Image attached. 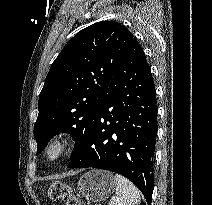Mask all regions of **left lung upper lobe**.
Returning a JSON list of instances; mask_svg holds the SVG:
<instances>
[{
	"label": "left lung upper lobe",
	"mask_w": 212,
	"mask_h": 205,
	"mask_svg": "<svg viewBox=\"0 0 212 205\" xmlns=\"http://www.w3.org/2000/svg\"><path fill=\"white\" fill-rule=\"evenodd\" d=\"M133 39L125 26L102 21L81 30L65 45L40 92L34 124L37 154L60 132L71 133L75 139L71 159L79 152Z\"/></svg>",
	"instance_id": "left-lung-upper-lobe-1"
}]
</instances>
